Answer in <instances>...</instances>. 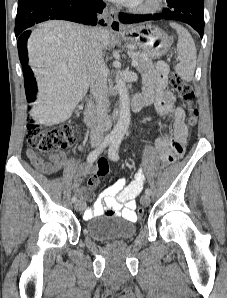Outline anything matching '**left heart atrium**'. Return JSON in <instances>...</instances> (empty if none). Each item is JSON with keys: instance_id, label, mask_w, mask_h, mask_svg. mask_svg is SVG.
Here are the masks:
<instances>
[{"instance_id": "obj_1", "label": "left heart atrium", "mask_w": 227, "mask_h": 298, "mask_svg": "<svg viewBox=\"0 0 227 298\" xmlns=\"http://www.w3.org/2000/svg\"><path fill=\"white\" fill-rule=\"evenodd\" d=\"M113 1L124 5H133L139 2L140 0H113Z\"/></svg>"}]
</instances>
